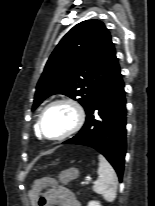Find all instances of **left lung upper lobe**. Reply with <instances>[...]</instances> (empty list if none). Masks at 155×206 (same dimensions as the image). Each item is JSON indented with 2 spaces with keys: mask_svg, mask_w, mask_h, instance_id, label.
Returning <instances> with one entry per match:
<instances>
[{
  "mask_svg": "<svg viewBox=\"0 0 155 206\" xmlns=\"http://www.w3.org/2000/svg\"><path fill=\"white\" fill-rule=\"evenodd\" d=\"M119 67L110 33L99 20L74 26L49 57L37 84L35 110L48 96L64 94L85 111L104 83Z\"/></svg>",
  "mask_w": 155,
  "mask_h": 206,
  "instance_id": "5c2ea615",
  "label": "left lung upper lobe"
}]
</instances>
